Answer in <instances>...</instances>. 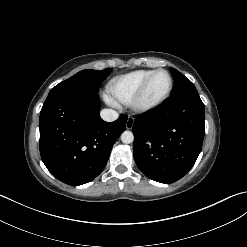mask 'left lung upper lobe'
<instances>
[{
  "label": "left lung upper lobe",
  "mask_w": 247,
  "mask_h": 247,
  "mask_svg": "<svg viewBox=\"0 0 247 247\" xmlns=\"http://www.w3.org/2000/svg\"><path fill=\"white\" fill-rule=\"evenodd\" d=\"M170 71L175 81V87L171 97L198 94L193 83L189 79H187L183 74H181L174 68H170Z\"/></svg>",
  "instance_id": "obj_1"
}]
</instances>
